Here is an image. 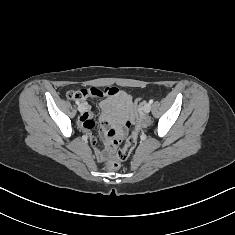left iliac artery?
Returning <instances> with one entry per match:
<instances>
[{
    "label": "left iliac artery",
    "mask_w": 235,
    "mask_h": 235,
    "mask_svg": "<svg viewBox=\"0 0 235 235\" xmlns=\"http://www.w3.org/2000/svg\"><path fill=\"white\" fill-rule=\"evenodd\" d=\"M149 103L152 104L153 103V99L149 100Z\"/></svg>",
    "instance_id": "left-iliac-artery-1"
}]
</instances>
